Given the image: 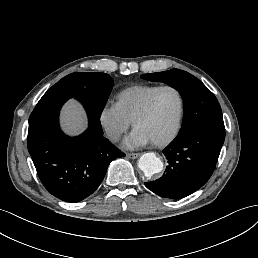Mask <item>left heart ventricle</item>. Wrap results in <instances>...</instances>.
<instances>
[{
	"label": "left heart ventricle",
	"mask_w": 258,
	"mask_h": 258,
	"mask_svg": "<svg viewBox=\"0 0 258 258\" xmlns=\"http://www.w3.org/2000/svg\"><path fill=\"white\" fill-rule=\"evenodd\" d=\"M178 97L173 90H162L154 98L149 116L141 124L144 134L155 138L168 137L176 124Z\"/></svg>",
	"instance_id": "left-heart-ventricle-1"
}]
</instances>
